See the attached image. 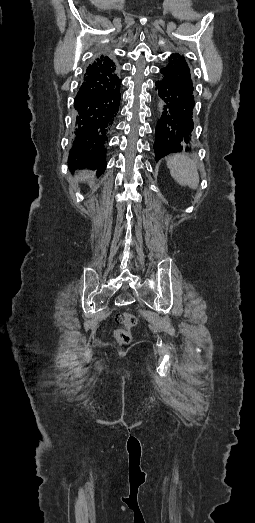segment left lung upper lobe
I'll list each match as a JSON object with an SVG mask.
<instances>
[{
    "label": "left lung upper lobe",
    "mask_w": 255,
    "mask_h": 523,
    "mask_svg": "<svg viewBox=\"0 0 255 523\" xmlns=\"http://www.w3.org/2000/svg\"><path fill=\"white\" fill-rule=\"evenodd\" d=\"M160 72L163 76H169L173 78L172 85L184 86L185 88L190 89L191 94L193 93L194 88L191 80L190 69L184 59V56H181L178 53L172 54L171 57H169L168 65L162 68ZM192 98L194 102L193 95ZM162 100H164V97ZM164 109H166L165 106ZM156 137H158V135L155 134V140Z\"/></svg>",
    "instance_id": "5c2ea615"
}]
</instances>
